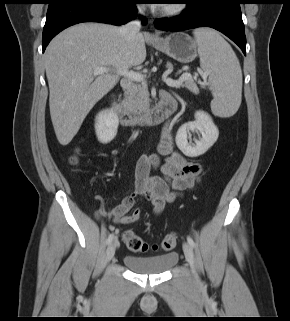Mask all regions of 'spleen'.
Wrapping results in <instances>:
<instances>
[{"mask_svg":"<svg viewBox=\"0 0 290 321\" xmlns=\"http://www.w3.org/2000/svg\"><path fill=\"white\" fill-rule=\"evenodd\" d=\"M201 69L209 75L213 89L212 112L219 117L234 115L241 104L242 71L231 46L215 30H194Z\"/></svg>","mask_w":290,"mask_h":321,"instance_id":"1","label":"spleen"}]
</instances>
